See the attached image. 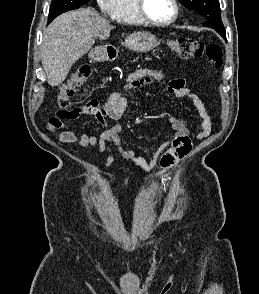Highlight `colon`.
<instances>
[{
    "label": "colon",
    "instance_id": "1",
    "mask_svg": "<svg viewBox=\"0 0 259 294\" xmlns=\"http://www.w3.org/2000/svg\"><path fill=\"white\" fill-rule=\"evenodd\" d=\"M169 47L178 56L184 59L200 58L205 56L215 67L222 64V51L219 45H206L200 40L180 37L169 41ZM89 66H81L71 77L61 86L57 98V105L60 112L68 115L71 111V96L91 77Z\"/></svg>",
    "mask_w": 259,
    "mask_h": 294
}]
</instances>
